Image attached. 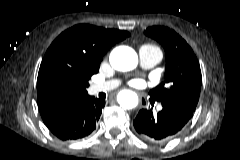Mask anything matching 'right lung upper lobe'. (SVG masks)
<instances>
[{"label": "right lung upper lobe", "instance_id": "obj_1", "mask_svg": "<svg viewBox=\"0 0 240 160\" xmlns=\"http://www.w3.org/2000/svg\"><path fill=\"white\" fill-rule=\"evenodd\" d=\"M129 35L126 31L85 24L62 32L52 42L40 65L37 78L38 105L60 98L54 84L59 72L98 68L107 50Z\"/></svg>", "mask_w": 240, "mask_h": 160}]
</instances>
